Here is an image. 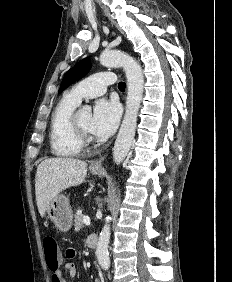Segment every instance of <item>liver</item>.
Wrapping results in <instances>:
<instances>
[{
	"label": "liver",
	"instance_id": "liver-1",
	"mask_svg": "<svg viewBox=\"0 0 232 282\" xmlns=\"http://www.w3.org/2000/svg\"><path fill=\"white\" fill-rule=\"evenodd\" d=\"M87 175V163L74 158H49L36 171L35 194L38 211L44 217L50 203L63 190L80 185Z\"/></svg>",
	"mask_w": 232,
	"mask_h": 282
}]
</instances>
